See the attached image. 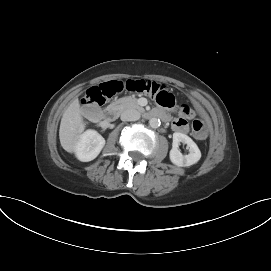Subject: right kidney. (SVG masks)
Returning a JSON list of instances; mask_svg holds the SVG:
<instances>
[{
  "instance_id": "obj_1",
  "label": "right kidney",
  "mask_w": 271,
  "mask_h": 271,
  "mask_svg": "<svg viewBox=\"0 0 271 271\" xmlns=\"http://www.w3.org/2000/svg\"><path fill=\"white\" fill-rule=\"evenodd\" d=\"M105 145V139L95 130H86L79 135L76 144V157L82 162L95 159Z\"/></svg>"
}]
</instances>
